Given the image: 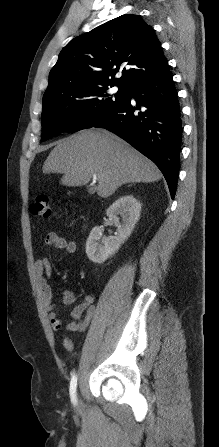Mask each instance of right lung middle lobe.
<instances>
[{
	"instance_id": "1",
	"label": "right lung middle lobe",
	"mask_w": 219,
	"mask_h": 447,
	"mask_svg": "<svg viewBox=\"0 0 219 447\" xmlns=\"http://www.w3.org/2000/svg\"><path fill=\"white\" fill-rule=\"evenodd\" d=\"M113 86L95 87L85 94L43 97L41 140L45 141L62 132L90 128L92 123L115 106L124 103L128 99L129 90L117 85L118 91L113 93L110 89Z\"/></svg>"
}]
</instances>
